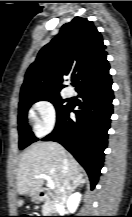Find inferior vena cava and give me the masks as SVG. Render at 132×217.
I'll use <instances>...</instances> for the list:
<instances>
[{"label": "inferior vena cava", "mask_w": 132, "mask_h": 217, "mask_svg": "<svg viewBox=\"0 0 132 217\" xmlns=\"http://www.w3.org/2000/svg\"><path fill=\"white\" fill-rule=\"evenodd\" d=\"M63 164L65 169V179L63 184L57 193V201L64 202L69 194H71V182H74V178L68 174V160L66 157L63 158Z\"/></svg>", "instance_id": "602c4592"}]
</instances>
